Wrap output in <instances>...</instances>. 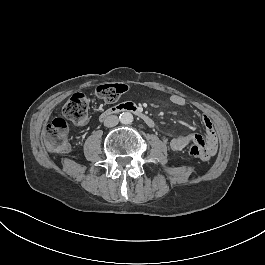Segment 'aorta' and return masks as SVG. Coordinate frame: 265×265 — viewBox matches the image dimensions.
<instances>
[{
  "instance_id": "aorta-1",
  "label": "aorta",
  "mask_w": 265,
  "mask_h": 265,
  "mask_svg": "<svg viewBox=\"0 0 265 265\" xmlns=\"http://www.w3.org/2000/svg\"><path fill=\"white\" fill-rule=\"evenodd\" d=\"M133 119V115L130 112H123L120 115V122L125 125L132 123Z\"/></svg>"
}]
</instances>
